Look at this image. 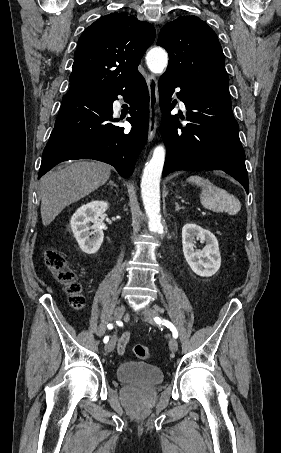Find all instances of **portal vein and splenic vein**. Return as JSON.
<instances>
[{
    "instance_id": "1",
    "label": "portal vein and splenic vein",
    "mask_w": 281,
    "mask_h": 453,
    "mask_svg": "<svg viewBox=\"0 0 281 453\" xmlns=\"http://www.w3.org/2000/svg\"><path fill=\"white\" fill-rule=\"evenodd\" d=\"M196 210H197V211H200L201 209H200V208H197ZM200 212H201L202 215H205V214H206V213L203 212L202 210H201Z\"/></svg>"
}]
</instances>
